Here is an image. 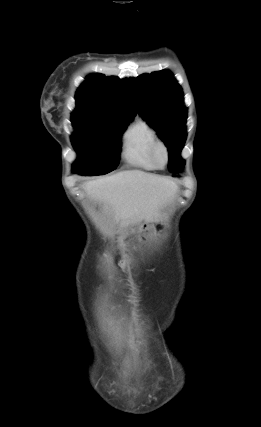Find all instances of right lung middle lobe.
Wrapping results in <instances>:
<instances>
[{
    "instance_id": "obj_1",
    "label": "right lung middle lobe",
    "mask_w": 261,
    "mask_h": 427,
    "mask_svg": "<svg viewBox=\"0 0 261 427\" xmlns=\"http://www.w3.org/2000/svg\"><path fill=\"white\" fill-rule=\"evenodd\" d=\"M76 133L71 140L78 160L73 171L93 176L104 175L117 168L121 148L120 138L129 120L92 116L71 117Z\"/></svg>"
}]
</instances>
